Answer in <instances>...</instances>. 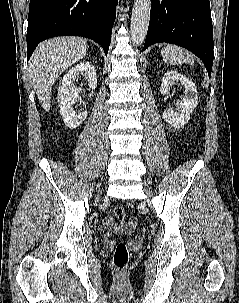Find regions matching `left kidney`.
Here are the masks:
<instances>
[{
    "mask_svg": "<svg viewBox=\"0 0 239 303\" xmlns=\"http://www.w3.org/2000/svg\"><path fill=\"white\" fill-rule=\"evenodd\" d=\"M179 83L185 88L183 99L176 101L175 110L173 108H168L163 112V119L176 129L184 127V125L189 122L190 114L198 104L195 84L189 78L177 71L170 70L164 74L160 91L162 94L167 95L170 93V87Z\"/></svg>",
    "mask_w": 239,
    "mask_h": 303,
    "instance_id": "5707ae66",
    "label": "left kidney"
}]
</instances>
